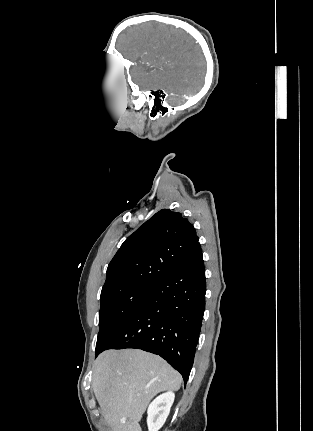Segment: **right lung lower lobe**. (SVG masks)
<instances>
[{
	"mask_svg": "<svg viewBox=\"0 0 313 431\" xmlns=\"http://www.w3.org/2000/svg\"><path fill=\"white\" fill-rule=\"evenodd\" d=\"M205 294V268L198 242L96 351V356L107 349L151 352L179 371L186 385L202 326Z\"/></svg>",
	"mask_w": 313,
	"mask_h": 431,
	"instance_id": "1",
	"label": "right lung lower lobe"
}]
</instances>
